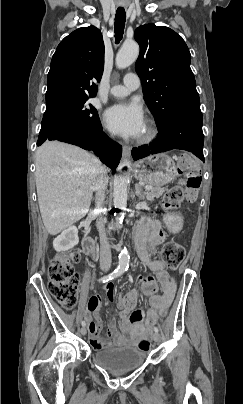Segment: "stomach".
I'll return each mask as SVG.
<instances>
[{
    "label": "stomach",
    "instance_id": "0dacf381",
    "mask_svg": "<svg viewBox=\"0 0 243 404\" xmlns=\"http://www.w3.org/2000/svg\"><path fill=\"white\" fill-rule=\"evenodd\" d=\"M136 178L147 185L160 187L171 182L177 176V167L174 160L165 153L155 154L139 160L134 165ZM171 230H179L182 218L178 214L166 217Z\"/></svg>",
    "mask_w": 243,
    "mask_h": 404
}]
</instances>
